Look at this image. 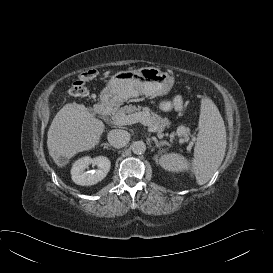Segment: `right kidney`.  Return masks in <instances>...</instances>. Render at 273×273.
Wrapping results in <instances>:
<instances>
[{"mask_svg": "<svg viewBox=\"0 0 273 273\" xmlns=\"http://www.w3.org/2000/svg\"><path fill=\"white\" fill-rule=\"evenodd\" d=\"M91 164L97 165L98 169L85 171ZM110 167L111 162L105 156L95 158L83 157L78 159L72 166V180L82 186L94 185L106 177Z\"/></svg>", "mask_w": 273, "mask_h": 273, "instance_id": "right-kidney-1", "label": "right kidney"}]
</instances>
